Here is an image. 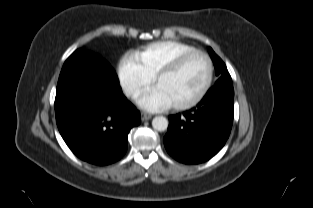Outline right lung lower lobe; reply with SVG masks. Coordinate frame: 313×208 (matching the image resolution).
<instances>
[{
	"label": "right lung lower lobe",
	"mask_w": 313,
	"mask_h": 208,
	"mask_svg": "<svg viewBox=\"0 0 313 208\" xmlns=\"http://www.w3.org/2000/svg\"><path fill=\"white\" fill-rule=\"evenodd\" d=\"M113 68L100 56L74 52L61 70L55 98L59 132L80 159L96 165L119 160L140 114L125 98Z\"/></svg>",
	"instance_id": "98d812e1"
}]
</instances>
